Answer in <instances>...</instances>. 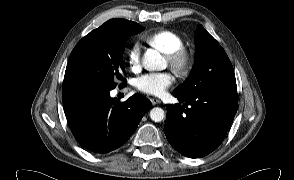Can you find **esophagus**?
I'll return each mask as SVG.
<instances>
[{
    "label": "esophagus",
    "mask_w": 294,
    "mask_h": 180,
    "mask_svg": "<svg viewBox=\"0 0 294 180\" xmlns=\"http://www.w3.org/2000/svg\"><path fill=\"white\" fill-rule=\"evenodd\" d=\"M151 103H152L153 105H157V104H160L161 101H160L159 99H157V98H152V99H151Z\"/></svg>",
    "instance_id": "1"
}]
</instances>
